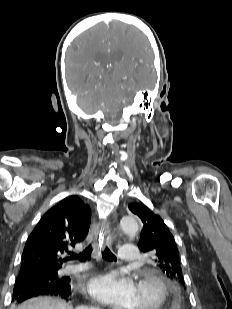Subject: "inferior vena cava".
I'll list each match as a JSON object with an SVG mask.
<instances>
[{"label":"inferior vena cava","mask_w":232,"mask_h":309,"mask_svg":"<svg viewBox=\"0 0 232 309\" xmlns=\"http://www.w3.org/2000/svg\"><path fill=\"white\" fill-rule=\"evenodd\" d=\"M79 309H86V308H83V307H82V308H79ZM90 309H96V308H90Z\"/></svg>","instance_id":"inferior-vena-cava-1"}]
</instances>
